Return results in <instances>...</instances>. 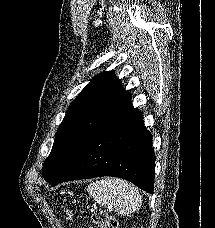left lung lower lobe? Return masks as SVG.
<instances>
[{"instance_id": "0a47b994", "label": "left lung lower lobe", "mask_w": 215, "mask_h": 228, "mask_svg": "<svg viewBox=\"0 0 215 228\" xmlns=\"http://www.w3.org/2000/svg\"><path fill=\"white\" fill-rule=\"evenodd\" d=\"M154 162L151 133L130 98L93 133L61 172L47 182L55 186L66 181L113 176L152 194Z\"/></svg>"}]
</instances>
